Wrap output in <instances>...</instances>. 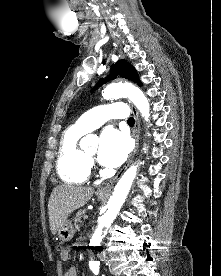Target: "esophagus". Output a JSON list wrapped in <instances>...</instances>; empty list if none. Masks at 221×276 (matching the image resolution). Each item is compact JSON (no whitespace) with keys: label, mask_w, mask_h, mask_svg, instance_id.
I'll list each match as a JSON object with an SVG mask.
<instances>
[{"label":"esophagus","mask_w":221,"mask_h":276,"mask_svg":"<svg viewBox=\"0 0 221 276\" xmlns=\"http://www.w3.org/2000/svg\"><path fill=\"white\" fill-rule=\"evenodd\" d=\"M132 109V113L135 117V126H134V130H133V136L135 138L136 144H135V148L134 150L131 152L126 165L124 166L123 170H121V172L114 178L113 181H111L109 184L101 187L98 189L99 193L102 194H106L109 193L111 191V188L113 186V184L120 178V176L123 174V172L126 170V168L130 165V163L132 162V159L135 155V153L137 152V149L139 147V129H140V118H139V114L137 112V110L135 109L134 106H131Z\"/></svg>","instance_id":"obj_1"}]
</instances>
